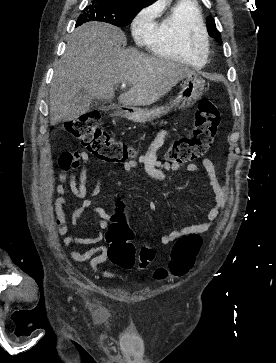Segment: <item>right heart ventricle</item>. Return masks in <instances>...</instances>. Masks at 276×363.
Masks as SVG:
<instances>
[{"label":"right heart ventricle","instance_id":"right-heart-ventricle-1","mask_svg":"<svg viewBox=\"0 0 276 363\" xmlns=\"http://www.w3.org/2000/svg\"><path fill=\"white\" fill-rule=\"evenodd\" d=\"M194 30L206 32L203 15L194 1L179 0L154 26L146 43L158 57L200 69L206 57L190 46L189 36Z\"/></svg>","mask_w":276,"mask_h":363}]
</instances>
